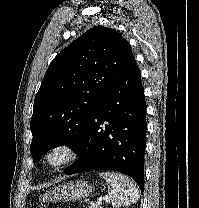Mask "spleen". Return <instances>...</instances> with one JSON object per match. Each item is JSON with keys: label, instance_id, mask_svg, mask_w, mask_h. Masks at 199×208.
Segmentation results:
<instances>
[{"label": "spleen", "instance_id": "3e777b00", "mask_svg": "<svg viewBox=\"0 0 199 208\" xmlns=\"http://www.w3.org/2000/svg\"><path fill=\"white\" fill-rule=\"evenodd\" d=\"M99 176L108 184V194L113 207L128 206L138 201L139 190L129 177L109 171L101 172Z\"/></svg>", "mask_w": 199, "mask_h": 208}]
</instances>
